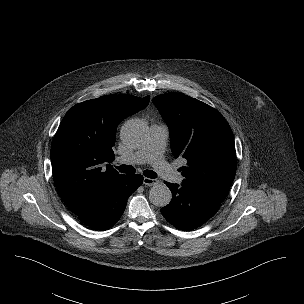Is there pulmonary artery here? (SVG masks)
<instances>
[{
	"label": "pulmonary artery",
	"instance_id": "obj_1",
	"mask_svg": "<svg viewBox=\"0 0 304 304\" xmlns=\"http://www.w3.org/2000/svg\"><path fill=\"white\" fill-rule=\"evenodd\" d=\"M169 137V130L164 125L151 126V134L146 144L133 154L118 159L120 163L153 165L157 173L165 180L172 183H181L182 175L173 169L164 159L163 153Z\"/></svg>",
	"mask_w": 304,
	"mask_h": 304
}]
</instances>
